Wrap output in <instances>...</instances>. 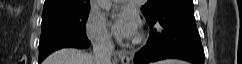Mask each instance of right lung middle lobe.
<instances>
[{
  "label": "right lung middle lobe",
  "instance_id": "right-lung-middle-lobe-1",
  "mask_svg": "<svg viewBox=\"0 0 242 64\" xmlns=\"http://www.w3.org/2000/svg\"><path fill=\"white\" fill-rule=\"evenodd\" d=\"M90 9L42 14L39 60L65 47L88 48L86 22Z\"/></svg>",
  "mask_w": 242,
  "mask_h": 64
}]
</instances>
